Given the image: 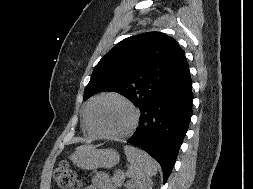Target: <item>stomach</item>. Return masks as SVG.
<instances>
[{
    "label": "stomach",
    "mask_w": 253,
    "mask_h": 189,
    "mask_svg": "<svg viewBox=\"0 0 253 189\" xmlns=\"http://www.w3.org/2000/svg\"><path fill=\"white\" fill-rule=\"evenodd\" d=\"M120 156L118 152L111 148L98 149L90 147L77 150L70 156V160L74 165L92 170L98 167H113L119 162Z\"/></svg>",
    "instance_id": "0dacf381"
}]
</instances>
